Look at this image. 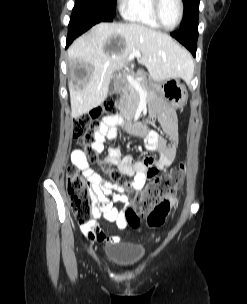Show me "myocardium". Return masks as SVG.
<instances>
[{"instance_id": "myocardium-1", "label": "myocardium", "mask_w": 247, "mask_h": 304, "mask_svg": "<svg viewBox=\"0 0 247 304\" xmlns=\"http://www.w3.org/2000/svg\"><path fill=\"white\" fill-rule=\"evenodd\" d=\"M153 1V13H154V17L156 19V21L158 22V24L160 25L161 28L165 29V30H174L176 29L182 22L183 19V14H184V3L183 0H177L178 4H179V17H178V21L177 23L173 26V27H166L161 19L160 16V8H161V4H162V0H152Z\"/></svg>"}]
</instances>
